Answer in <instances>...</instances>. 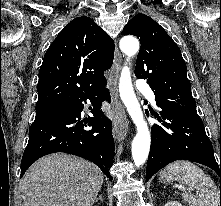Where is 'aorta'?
Here are the masks:
<instances>
[{
  "label": "aorta",
  "mask_w": 221,
  "mask_h": 206,
  "mask_svg": "<svg viewBox=\"0 0 221 206\" xmlns=\"http://www.w3.org/2000/svg\"><path fill=\"white\" fill-rule=\"evenodd\" d=\"M121 51L129 58L139 51V41L133 36H125L119 43ZM120 97L127 108L128 114L137 128L132 141V158L136 166L145 163L150 150V131L144 120L140 104L134 93L130 69L124 66L119 80Z\"/></svg>",
  "instance_id": "aorta-1"
}]
</instances>
